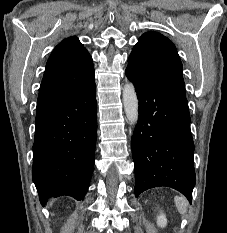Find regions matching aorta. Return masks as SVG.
I'll list each match as a JSON object with an SVG mask.
<instances>
[{"instance_id": "aorta-1", "label": "aorta", "mask_w": 227, "mask_h": 233, "mask_svg": "<svg viewBox=\"0 0 227 233\" xmlns=\"http://www.w3.org/2000/svg\"><path fill=\"white\" fill-rule=\"evenodd\" d=\"M122 95L126 117L130 123L136 124L139 119V105L134 85L130 82H127L123 87Z\"/></svg>"}]
</instances>
